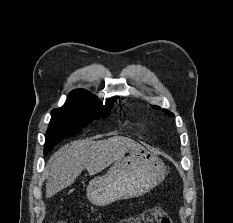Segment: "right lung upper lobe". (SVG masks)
Returning a JSON list of instances; mask_svg holds the SVG:
<instances>
[{
	"mask_svg": "<svg viewBox=\"0 0 233 223\" xmlns=\"http://www.w3.org/2000/svg\"><path fill=\"white\" fill-rule=\"evenodd\" d=\"M114 100L116 99L112 98L106 101L104 105H112ZM66 103L103 105V102H100L97 97L91 95L88 91H85L83 89L72 91L69 94Z\"/></svg>",
	"mask_w": 233,
	"mask_h": 223,
	"instance_id": "right-lung-upper-lobe-1",
	"label": "right lung upper lobe"
}]
</instances>
